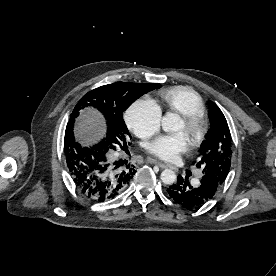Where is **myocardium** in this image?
<instances>
[{"instance_id":"myocardium-1","label":"myocardium","mask_w":276,"mask_h":276,"mask_svg":"<svg viewBox=\"0 0 276 276\" xmlns=\"http://www.w3.org/2000/svg\"><path fill=\"white\" fill-rule=\"evenodd\" d=\"M191 138L192 148L198 147L204 140L207 133V120L203 113L193 112L181 116Z\"/></svg>"}]
</instances>
